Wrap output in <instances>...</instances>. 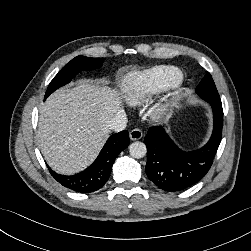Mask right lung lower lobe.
<instances>
[{
	"mask_svg": "<svg viewBox=\"0 0 251 251\" xmlns=\"http://www.w3.org/2000/svg\"><path fill=\"white\" fill-rule=\"evenodd\" d=\"M129 145L127 130L109 137L96 160L84 171L67 176L48 167L54 179L64 187L81 193H91L101 189L109 179L112 165L117 155Z\"/></svg>",
	"mask_w": 251,
	"mask_h": 251,
	"instance_id": "right-lung-lower-lobe-1",
	"label": "right lung lower lobe"
}]
</instances>
